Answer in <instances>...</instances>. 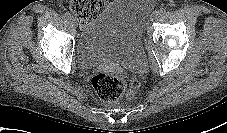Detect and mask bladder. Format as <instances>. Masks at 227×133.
<instances>
[{
    "label": "bladder",
    "mask_w": 227,
    "mask_h": 133,
    "mask_svg": "<svg viewBox=\"0 0 227 133\" xmlns=\"http://www.w3.org/2000/svg\"><path fill=\"white\" fill-rule=\"evenodd\" d=\"M154 0H113L79 36L80 67L117 64L139 72L144 68L143 32Z\"/></svg>",
    "instance_id": "obj_1"
}]
</instances>
